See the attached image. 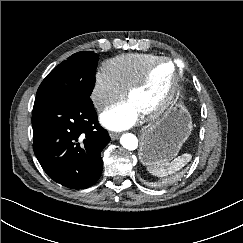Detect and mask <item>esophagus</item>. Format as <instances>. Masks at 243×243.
Segmentation results:
<instances>
[{
	"instance_id": "34e87169",
	"label": "esophagus",
	"mask_w": 243,
	"mask_h": 243,
	"mask_svg": "<svg viewBox=\"0 0 243 243\" xmlns=\"http://www.w3.org/2000/svg\"><path fill=\"white\" fill-rule=\"evenodd\" d=\"M110 138H111V140H116V139L119 138V134L115 133V132H111L110 133Z\"/></svg>"
}]
</instances>
